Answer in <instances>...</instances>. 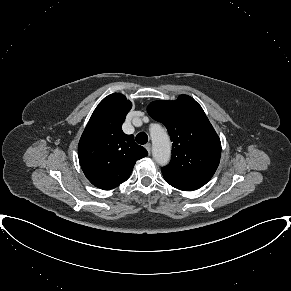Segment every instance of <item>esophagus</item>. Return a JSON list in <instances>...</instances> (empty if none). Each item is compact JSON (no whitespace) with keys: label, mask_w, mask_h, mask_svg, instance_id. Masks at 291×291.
Masks as SVG:
<instances>
[{"label":"esophagus","mask_w":291,"mask_h":291,"mask_svg":"<svg viewBox=\"0 0 291 291\" xmlns=\"http://www.w3.org/2000/svg\"><path fill=\"white\" fill-rule=\"evenodd\" d=\"M145 148L147 149L148 153L150 154L151 153V144L150 143H147L145 145Z\"/></svg>","instance_id":"obj_1"}]
</instances>
